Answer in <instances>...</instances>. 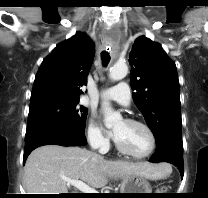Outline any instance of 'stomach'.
Here are the masks:
<instances>
[{
	"instance_id": "stomach-1",
	"label": "stomach",
	"mask_w": 208,
	"mask_h": 198,
	"mask_svg": "<svg viewBox=\"0 0 208 198\" xmlns=\"http://www.w3.org/2000/svg\"><path fill=\"white\" fill-rule=\"evenodd\" d=\"M150 183L145 177L129 175L122 178L120 193H152ZM124 197L143 198L145 194H123Z\"/></svg>"
}]
</instances>
